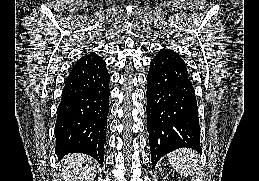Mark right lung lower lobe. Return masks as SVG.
Returning <instances> with one entry per match:
<instances>
[{
  "mask_svg": "<svg viewBox=\"0 0 259 181\" xmlns=\"http://www.w3.org/2000/svg\"><path fill=\"white\" fill-rule=\"evenodd\" d=\"M110 75L105 61L92 53L80 58L68 75L57 109L56 148L60 157L84 153L104 160Z\"/></svg>",
  "mask_w": 259,
  "mask_h": 181,
  "instance_id": "98d812e1",
  "label": "right lung lower lobe"
}]
</instances>
